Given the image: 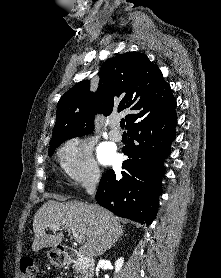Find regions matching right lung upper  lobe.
Returning a JSON list of instances; mask_svg holds the SVG:
<instances>
[{
  "mask_svg": "<svg viewBox=\"0 0 221 278\" xmlns=\"http://www.w3.org/2000/svg\"><path fill=\"white\" fill-rule=\"evenodd\" d=\"M98 74L100 81L96 93L89 90L90 81L84 80L59 100L50 147L92 132L97 113L109 115L113 110H130L125 116L129 129L176 106L170 85L144 54L117 55L108 59Z\"/></svg>",
  "mask_w": 221,
  "mask_h": 278,
  "instance_id": "obj_1",
  "label": "right lung upper lobe"
}]
</instances>
